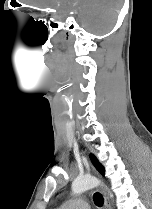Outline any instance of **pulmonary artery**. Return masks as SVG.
<instances>
[{
    "label": "pulmonary artery",
    "instance_id": "pulmonary-artery-1",
    "mask_svg": "<svg viewBox=\"0 0 152 209\" xmlns=\"http://www.w3.org/2000/svg\"><path fill=\"white\" fill-rule=\"evenodd\" d=\"M60 209H90L88 202L82 198H75L65 202Z\"/></svg>",
    "mask_w": 152,
    "mask_h": 209
}]
</instances>
